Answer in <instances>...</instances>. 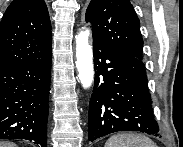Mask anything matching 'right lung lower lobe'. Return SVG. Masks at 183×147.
<instances>
[{
  "label": "right lung lower lobe",
  "mask_w": 183,
  "mask_h": 147,
  "mask_svg": "<svg viewBox=\"0 0 183 147\" xmlns=\"http://www.w3.org/2000/svg\"><path fill=\"white\" fill-rule=\"evenodd\" d=\"M51 51L0 71V139L47 146Z\"/></svg>",
  "instance_id": "1"
}]
</instances>
